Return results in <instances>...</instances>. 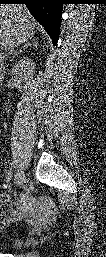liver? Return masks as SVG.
<instances>
[{"label":"liver","instance_id":"6515ba94","mask_svg":"<svg viewBox=\"0 0 106 257\" xmlns=\"http://www.w3.org/2000/svg\"><path fill=\"white\" fill-rule=\"evenodd\" d=\"M36 22L23 5H1L0 48L8 50L9 45H20L34 37Z\"/></svg>","mask_w":106,"mask_h":257}]
</instances>
